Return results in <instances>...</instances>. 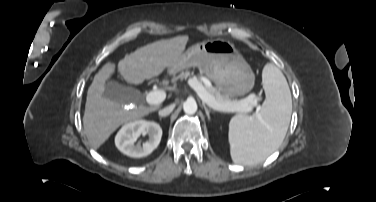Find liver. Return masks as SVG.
<instances>
[{"label":"liver","instance_id":"6515ba94","mask_svg":"<svg viewBox=\"0 0 376 202\" xmlns=\"http://www.w3.org/2000/svg\"><path fill=\"white\" fill-rule=\"evenodd\" d=\"M188 40L187 35H182L143 46L119 61L118 72L128 83L136 85L157 77L165 68L179 61ZM114 72L115 64L106 63L88 88L83 126L94 149H98L121 124L140 119L162 106L159 103L126 110L104 98L105 82Z\"/></svg>","mask_w":376,"mask_h":202}]
</instances>
